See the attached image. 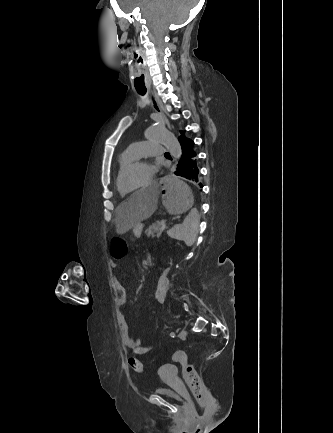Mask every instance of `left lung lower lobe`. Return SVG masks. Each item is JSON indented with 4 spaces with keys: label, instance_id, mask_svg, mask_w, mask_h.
I'll return each instance as SVG.
<instances>
[{
    "label": "left lung lower lobe",
    "instance_id": "obj_1",
    "mask_svg": "<svg viewBox=\"0 0 333 433\" xmlns=\"http://www.w3.org/2000/svg\"><path fill=\"white\" fill-rule=\"evenodd\" d=\"M179 142L181 146V157L178 161L177 170L174 173L196 184L198 183L199 168L197 165V153L194 149V141L179 138Z\"/></svg>",
    "mask_w": 333,
    "mask_h": 433
}]
</instances>
